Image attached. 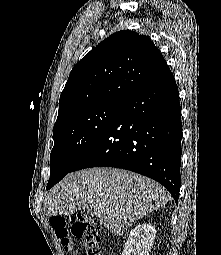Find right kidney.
Segmentation results:
<instances>
[{
	"mask_svg": "<svg viewBox=\"0 0 221 255\" xmlns=\"http://www.w3.org/2000/svg\"><path fill=\"white\" fill-rule=\"evenodd\" d=\"M156 236L155 227L151 224H138L132 229L124 244L122 255H149Z\"/></svg>",
	"mask_w": 221,
	"mask_h": 255,
	"instance_id": "obj_1",
	"label": "right kidney"
}]
</instances>
